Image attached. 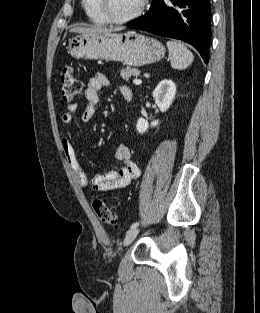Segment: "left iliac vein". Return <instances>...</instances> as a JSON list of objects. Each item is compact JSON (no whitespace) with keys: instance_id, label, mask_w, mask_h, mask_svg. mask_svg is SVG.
<instances>
[{"instance_id":"4c4485c4","label":"left iliac vein","mask_w":260,"mask_h":313,"mask_svg":"<svg viewBox=\"0 0 260 313\" xmlns=\"http://www.w3.org/2000/svg\"><path fill=\"white\" fill-rule=\"evenodd\" d=\"M138 233H139V228L138 227L130 229L126 233V236H125V239H124L125 246L130 245L134 241V239L137 237Z\"/></svg>"}]
</instances>
